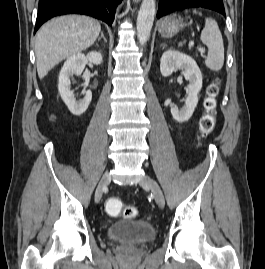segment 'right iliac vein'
<instances>
[{
	"mask_svg": "<svg viewBox=\"0 0 265 269\" xmlns=\"http://www.w3.org/2000/svg\"><path fill=\"white\" fill-rule=\"evenodd\" d=\"M110 181H111V175H110L109 172H106L102 176V178H101V180H100V182H99V184L97 186V189H96V192H95V202L98 203L100 201V199L102 197V194H103V190H104V188L106 186H108V184L110 183Z\"/></svg>",
	"mask_w": 265,
	"mask_h": 269,
	"instance_id": "right-iliac-vein-1",
	"label": "right iliac vein"
}]
</instances>
